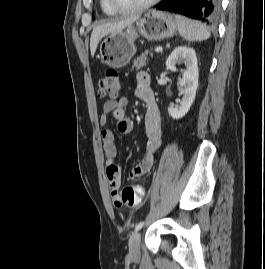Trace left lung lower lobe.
<instances>
[{"label": "left lung lower lobe", "instance_id": "obj_1", "mask_svg": "<svg viewBox=\"0 0 265 269\" xmlns=\"http://www.w3.org/2000/svg\"><path fill=\"white\" fill-rule=\"evenodd\" d=\"M157 9L211 23L219 15L220 0H166Z\"/></svg>", "mask_w": 265, "mask_h": 269}]
</instances>
